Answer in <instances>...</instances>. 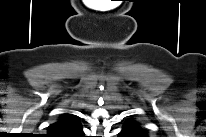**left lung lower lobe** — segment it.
I'll return each instance as SVG.
<instances>
[{
    "mask_svg": "<svg viewBox=\"0 0 206 137\" xmlns=\"http://www.w3.org/2000/svg\"><path fill=\"white\" fill-rule=\"evenodd\" d=\"M121 137H146L143 136V134L138 133L132 129H127V128H123L121 133H120Z\"/></svg>",
    "mask_w": 206,
    "mask_h": 137,
    "instance_id": "left-lung-lower-lobe-1",
    "label": "left lung lower lobe"
}]
</instances>
